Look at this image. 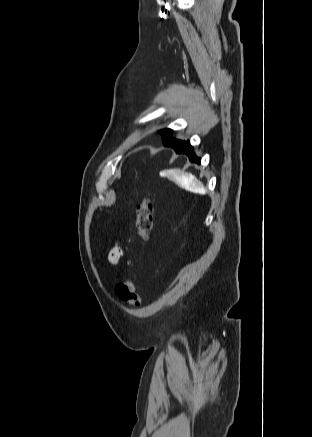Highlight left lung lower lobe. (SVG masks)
Returning <instances> with one entry per match:
<instances>
[{
    "label": "left lung lower lobe",
    "instance_id": "0a47b994",
    "mask_svg": "<svg viewBox=\"0 0 312 437\" xmlns=\"http://www.w3.org/2000/svg\"><path fill=\"white\" fill-rule=\"evenodd\" d=\"M164 146L173 148L177 153H183L189 156V160L191 162L200 163V158L196 156L194 153V149L191 146L189 141H181V140H175L168 143H163Z\"/></svg>",
    "mask_w": 312,
    "mask_h": 437
}]
</instances>
